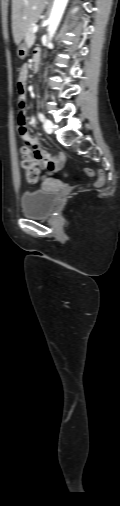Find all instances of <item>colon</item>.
Masks as SVG:
<instances>
[{
    "instance_id": "colon-1",
    "label": "colon",
    "mask_w": 120,
    "mask_h": 506,
    "mask_svg": "<svg viewBox=\"0 0 120 506\" xmlns=\"http://www.w3.org/2000/svg\"><path fill=\"white\" fill-rule=\"evenodd\" d=\"M17 89L19 92L18 97V127L20 134H25L26 129V117H25V106L26 98L24 95V85L21 81H18ZM25 143L20 148V154L23 157L22 167L26 173L27 180L29 182H36L39 179V170L37 168L38 160L41 157V153L35 148L28 138H25ZM82 174L86 178L93 176V171L89 168L82 170ZM96 186L102 187L106 182V176L103 170L98 171Z\"/></svg>"
}]
</instances>
